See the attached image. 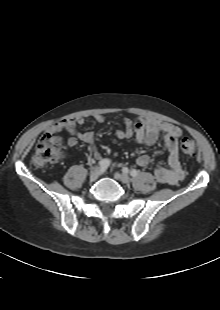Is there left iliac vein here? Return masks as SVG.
I'll return each mask as SVG.
<instances>
[{
  "label": "left iliac vein",
  "mask_w": 220,
  "mask_h": 310,
  "mask_svg": "<svg viewBox=\"0 0 220 310\" xmlns=\"http://www.w3.org/2000/svg\"><path fill=\"white\" fill-rule=\"evenodd\" d=\"M115 178L125 184L130 182V178L127 174L115 173Z\"/></svg>",
  "instance_id": "1"
}]
</instances>
